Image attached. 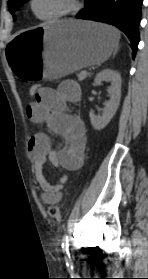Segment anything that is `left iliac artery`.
Returning <instances> with one entry per match:
<instances>
[{
    "mask_svg": "<svg viewBox=\"0 0 148 279\" xmlns=\"http://www.w3.org/2000/svg\"><path fill=\"white\" fill-rule=\"evenodd\" d=\"M68 242H69L68 235L65 234V235L63 236L62 244H61L62 249H63L64 252H67V251H68V247H69Z\"/></svg>",
    "mask_w": 148,
    "mask_h": 279,
    "instance_id": "obj_1",
    "label": "left iliac artery"
}]
</instances>
